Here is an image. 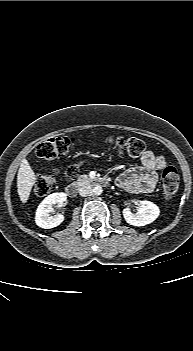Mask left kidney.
<instances>
[{
	"label": "left kidney",
	"instance_id": "left-kidney-1",
	"mask_svg": "<svg viewBox=\"0 0 193 351\" xmlns=\"http://www.w3.org/2000/svg\"><path fill=\"white\" fill-rule=\"evenodd\" d=\"M140 208L137 213H132L129 208L123 210L126 222L133 226H145L156 220L160 214L159 207L151 201H139Z\"/></svg>",
	"mask_w": 193,
	"mask_h": 351
}]
</instances>
